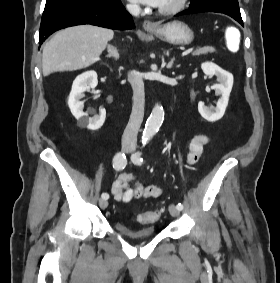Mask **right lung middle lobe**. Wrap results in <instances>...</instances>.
<instances>
[{
    "label": "right lung middle lobe",
    "instance_id": "dd1d6c3e",
    "mask_svg": "<svg viewBox=\"0 0 280 283\" xmlns=\"http://www.w3.org/2000/svg\"><path fill=\"white\" fill-rule=\"evenodd\" d=\"M107 0H47L45 9H49L61 4H71V3H104Z\"/></svg>",
    "mask_w": 280,
    "mask_h": 283
}]
</instances>
